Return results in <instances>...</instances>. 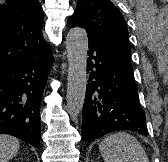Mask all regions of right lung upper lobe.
I'll use <instances>...</instances> for the list:
<instances>
[{"label":"right lung upper lobe","instance_id":"1","mask_svg":"<svg viewBox=\"0 0 168 162\" xmlns=\"http://www.w3.org/2000/svg\"><path fill=\"white\" fill-rule=\"evenodd\" d=\"M43 17L37 0H6L0 5V73L50 52L42 36Z\"/></svg>","mask_w":168,"mask_h":162}]
</instances>
